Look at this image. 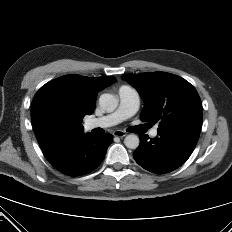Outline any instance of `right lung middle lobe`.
<instances>
[{"label": "right lung middle lobe", "instance_id": "right-lung-middle-lobe-1", "mask_svg": "<svg viewBox=\"0 0 232 232\" xmlns=\"http://www.w3.org/2000/svg\"><path fill=\"white\" fill-rule=\"evenodd\" d=\"M49 118L52 122H59L62 119V115L56 109H52L49 113Z\"/></svg>", "mask_w": 232, "mask_h": 232}]
</instances>
